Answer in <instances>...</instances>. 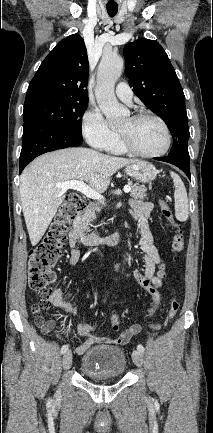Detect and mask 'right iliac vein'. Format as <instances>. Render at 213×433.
Here are the masks:
<instances>
[{
	"instance_id": "obj_1",
	"label": "right iliac vein",
	"mask_w": 213,
	"mask_h": 433,
	"mask_svg": "<svg viewBox=\"0 0 213 433\" xmlns=\"http://www.w3.org/2000/svg\"><path fill=\"white\" fill-rule=\"evenodd\" d=\"M72 364V353L71 351H67L65 352V354L63 355L62 358V367L63 369H69L71 367Z\"/></svg>"
}]
</instances>
